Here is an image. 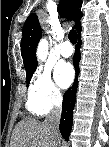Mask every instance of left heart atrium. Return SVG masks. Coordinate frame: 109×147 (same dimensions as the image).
<instances>
[{"label": "left heart atrium", "mask_w": 109, "mask_h": 147, "mask_svg": "<svg viewBox=\"0 0 109 147\" xmlns=\"http://www.w3.org/2000/svg\"><path fill=\"white\" fill-rule=\"evenodd\" d=\"M74 78V70L70 64L63 63L57 65L55 69V79L57 83L63 87H68Z\"/></svg>", "instance_id": "obj_1"}]
</instances>
